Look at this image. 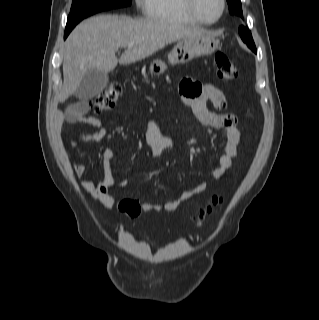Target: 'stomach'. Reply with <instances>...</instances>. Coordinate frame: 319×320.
<instances>
[{"label": "stomach", "instance_id": "0dacf381", "mask_svg": "<svg viewBox=\"0 0 319 320\" xmlns=\"http://www.w3.org/2000/svg\"><path fill=\"white\" fill-rule=\"evenodd\" d=\"M220 41L212 34L201 33L177 41L172 51L168 55L170 64H183L192 59L210 55L219 48ZM167 66L160 60H154L150 66V73L154 76L162 75Z\"/></svg>", "mask_w": 319, "mask_h": 320}]
</instances>
